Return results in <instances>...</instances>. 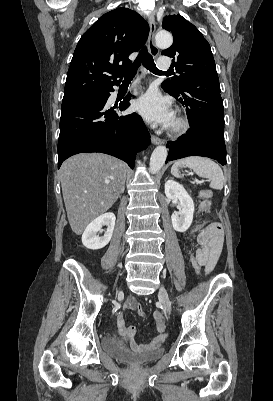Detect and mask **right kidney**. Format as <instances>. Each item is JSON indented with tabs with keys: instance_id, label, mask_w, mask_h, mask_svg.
<instances>
[{
	"instance_id": "right-kidney-1",
	"label": "right kidney",
	"mask_w": 273,
	"mask_h": 401,
	"mask_svg": "<svg viewBox=\"0 0 273 401\" xmlns=\"http://www.w3.org/2000/svg\"><path fill=\"white\" fill-rule=\"evenodd\" d=\"M115 215L114 213H105L100 215L97 219H94L88 227H86L82 235V243L87 249H103L108 245L115 227ZM103 225H106L107 231H105L104 237L97 235L98 231H101Z\"/></svg>"
}]
</instances>
